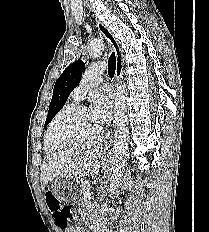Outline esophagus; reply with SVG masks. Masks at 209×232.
I'll use <instances>...</instances> for the list:
<instances>
[{
    "label": "esophagus",
    "mask_w": 209,
    "mask_h": 232,
    "mask_svg": "<svg viewBox=\"0 0 209 232\" xmlns=\"http://www.w3.org/2000/svg\"><path fill=\"white\" fill-rule=\"evenodd\" d=\"M96 25L98 27V30L102 34V36L105 38L108 46L114 51L116 56V73H115V81L118 83L123 74V55L121 52V49L119 47L118 41L114 37V35L111 33V31L107 28L106 25H104L100 20L96 19ZM112 135L113 130L110 128L104 138V145L107 146L112 141Z\"/></svg>",
    "instance_id": "1"
}]
</instances>
